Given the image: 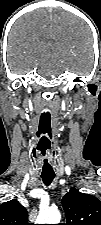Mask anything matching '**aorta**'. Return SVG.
<instances>
[{"mask_svg": "<svg viewBox=\"0 0 101 225\" xmlns=\"http://www.w3.org/2000/svg\"><path fill=\"white\" fill-rule=\"evenodd\" d=\"M60 219V212L55 208H49L39 213L36 224H59Z\"/></svg>", "mask_w": 101, "mask_h": 225, "instance_id": "1", "label": "aorta"}]
</instances>
